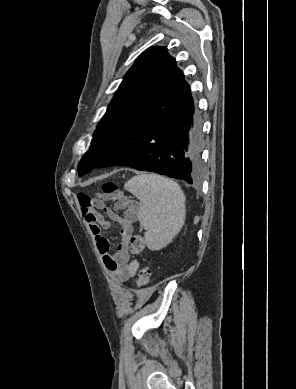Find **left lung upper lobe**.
<instances>
[{
    "instance_id": "1",
    "label": "left lung upper lobe",
    "mask_w": 296,
    "mask_h": 389,
    "mask_svg": "<svg viewBox=\"0 0 296 389\" xmlns=\"http://www.w3.org/2000/svg\"><path fill=\"white\" fill-rule=\"evenodd\" d=\"M176 61L166 47H151L144 51L126 73L108 109L97 125L90 149L78 164L82 176L99 167L94 150L103 134L119 122L127 113L144 102L165 80L181 74Z\"/></svg>"
}]
</instances>
